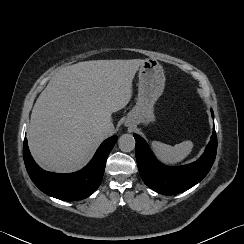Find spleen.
I'll return each instance as SVG.
<instances>
[{"label":"spleen","instance_id":"3e777b00","mask_svg":"<svg viewBox=\"0 0 244 244\" xmlns=\"http://www.w3.org/2000/svg\"><path fill=\"white\" fill-rule=\"evenodd\" d=\"M151 146L155 155L162 162L174 165L184 160L191 153L193 142L187 140L171 146L159 141H153Z\"/></svg>","mask_w":244,"mask_h":244}]
</instances>
